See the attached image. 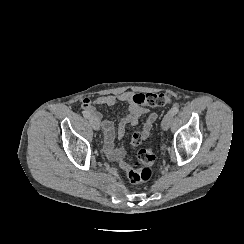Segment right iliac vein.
Wrapping results in <instances>:
<instances>
[{
	"mask_svg": "<svg viewBox=\"0 0 244 244\" xmlns=\"http://www.w3.org/2000/svg\"><path fill=\"white\" fill-rule=\"evenodd\" d=\"M90 123L94 130H96V131L100 130V123L97 118L91 117Z\"/></svg>",
	"mask_w": 244,
	"mask_h": 244,
	"instance_id": "right-iliac-vein-1",
	"label": "right iliac vein"
}]
</instances>
